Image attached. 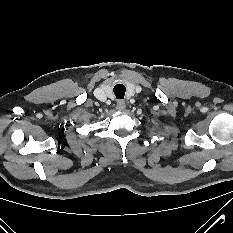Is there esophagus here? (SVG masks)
<instances>
[{"mask_svg":"<svg viewBox=\"0 0 233 233\" xmlns=\"http://www.w3.org/2000/svg\"><path fill=\"white\" fill-rule=\"evenodd\" d=\"M125 107H126V104L123 100H119L117 102V106H116L117 110L123 111L125 109Z\"/></svg>","mask_w":233,"mask_h":233,"instance_id":"obj_1","label":"esophagus"}]
</instances>
